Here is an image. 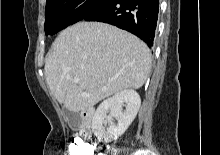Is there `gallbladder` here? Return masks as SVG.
<instances>
[{"mask_svg": "<svg viewBox=\"0 0 220 155\" xmlns=\"http://www.w3.org/2000/svg\"><path fill=\"white\" fill-rule=\"evenodd\" d=\"M65 116L68 120L69 125L71 126L72 129L76 130L78 128L76 122L80 121V117L78 116V114L69 111L67 109L64 110Z\"/></svg>", "mask_w": 220, "mask_h": 155, "instance_id": "gallbladder-1", "label": "gallbladder"}]
</instances>
